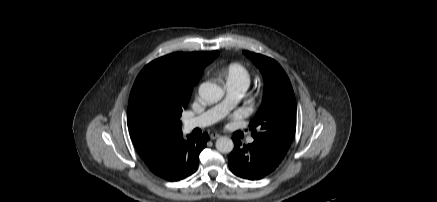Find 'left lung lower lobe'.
Returning a JSON list of instances; mask_svg holds the SVG:
<instances>
[{
  "label": "left lung lower lobe",
  "mask_w": 437,
  "mask_h": 202,
  "mask_svg": "<svg viewBox=\"0 0 437 202\" xmlns=\"http://www.w3.org/2000/svg\"><path fill=\"white\" fill-rule=\"evenodd\" d=\"M232 139L235 148L228 158L229 168L232 173L241 178L262 179L273 172L281 162L255 142L242 146L237 137Z\"/></svg>",
  "instance_id": "obj_1"
}]
</instances>
